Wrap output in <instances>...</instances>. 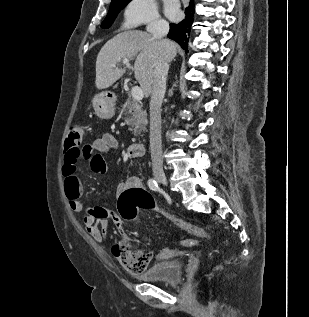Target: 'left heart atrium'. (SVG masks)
<instances>
[{
  "label": "left heart atrium",
  "instance_id": "left-heart-atrium-1",
  "mask_svg": "<svg viewBox=\"0 0 309 317\" xmlns=\"http://www.w3.org/2000/svg\"><path fill=\"white\" fill-rule=\"evenodd\" d=\"M166 12H167V15L171 19H177L179 17V14H180L179 8H178L177 4L174 2H169L166 5Z\"/></svg>",
  "mask_w": 309,
  "mask_h": 317
}]
</instances>
